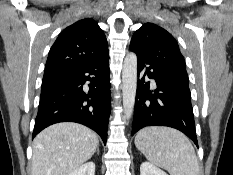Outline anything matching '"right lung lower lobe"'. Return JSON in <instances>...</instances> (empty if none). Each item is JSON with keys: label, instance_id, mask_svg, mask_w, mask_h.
Listing matches in <instances>:
<instances>
[{"label": "right lung lower lobe", "instance_id": "98d812e1", "mask_svg": "<svg viewBox=\"0 0 233 175\" xmlns=\"http://www.w3.org/2000/svg\"><path fill=\"white\" fill-rule=\"evenodd\" d=\"M109 55L43 77L34 138L58 122H77L107 140L111 110ZM89 82L88 86L84 85Z\"/></svg>", "mask_w": 233, "mask_h": 175}]
</instances>
